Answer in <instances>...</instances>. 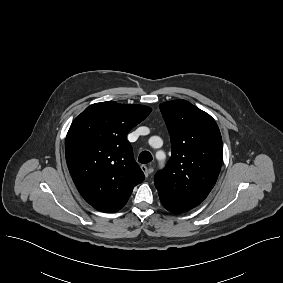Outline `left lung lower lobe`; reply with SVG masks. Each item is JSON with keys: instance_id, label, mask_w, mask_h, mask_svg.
<instances>
[{"instance_id": "0a47b994", "label": "left lung lower lobe", "mask_w": 283, "mask_h": 283, "mask_svg": "<svg viewBox=\"0 0 283 283\" xmlns=\"http://www.w3.org/2000/svg\"><path fill=\"white\" fill-rule=\"evenodd\" d=\"M161 203L163 204V206L167 209V210H169L170 212H172L167 206H166V204L161 200Z\"/></svg>"}]
</instances>
